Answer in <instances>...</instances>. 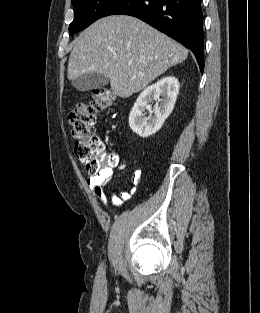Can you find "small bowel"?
Returning a JSON list of instances; mask_svg holds the SVG:
<instances>
[{
	"mask_svg": "<svg viewBox=\"0 0 260 313\" xmlns=\"http://www.w3.org/2000/svg\"><path fill=\"white\" fill-rule=\"evenodd\" d=\"M113 159L114 164L112 167L103 170L96 175L87 176L85 180L87 186L91 189L93 195L105 208L108 206V196L104 190L105 185L109 182L111 176L113 175L114 170L122 172L127 168V163L123 156L115 155ZM141 175L142 173L140 170H136L133 172L131 176L132 188L130 192L122 191L116 193L112 191L110 193V200L116 208H121L124 202L130 199L132 192L134 191L135 187L138 185L141 179Z\"/></svg>",
	"mask_w": 260,
	"mask_h": 313,
	"instance_id": "1",
	"label": "small bowel"
}]
</instances>
